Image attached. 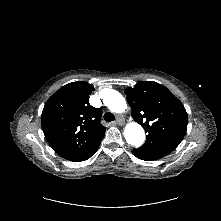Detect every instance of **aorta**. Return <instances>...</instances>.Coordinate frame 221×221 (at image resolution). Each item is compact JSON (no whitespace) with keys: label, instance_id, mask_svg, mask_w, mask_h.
I'll use <instances>...</instances> for the list:
<instances>
[{"label":"aorta","instance_id":"obj_1","mask_svg":"<svg viewBox=\"0 0 221 221\" xmlns=\"http://www.w3.org/2000/svg\"><path fill=\"white\" fill-rule=\"evenodd\" d=\"M103 101L105 105L115 113H122L127 108L125 98L113 89H107L105 91ZM124 137L129 144L139 147L145 140L144 129L136 122L129 123L124 129Z\"/></svg>","mask_w":221,"mask_h":221}]
</instances>
